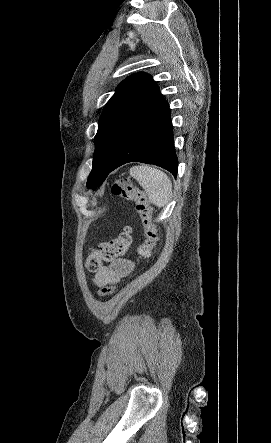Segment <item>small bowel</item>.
I'll list each match as a JSON object with an SVG mask.
<instances>
[{
	"instance_id": "small-bowel-1",
	"label": "small bowel",
	"mask_w": 271,
	"mask_h": 443,
	"mask_svg": "<svg viewBox=\"0 0 271 443\" xmlns=\"http://www.w3.org/2000/svg\"><path fill=\"white\" fill-rule=\"evenodd\" d=\"M135 269L134 261L125 258H116L107 267L101 268L93 278V282L98 286H105L117 283Z\"/></svg>"
}]
</instances>
